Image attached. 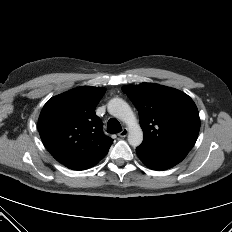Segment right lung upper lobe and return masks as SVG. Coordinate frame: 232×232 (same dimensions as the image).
Segmentation results:
<instances>
[{
	"label": "right lung upper lobe",
	"instance_id": "right-lung-upper-lobe-1",
	"mask_svg": "<svg viewBox=\"0 0 232 232\" xmlns=\"http://www.w3.org/2000/svg\"><path fill=\"white\" fill-rule=\"evenodd\" d=\"M104 93L103 87H78L51 98L40 113L38 130L44 146L70 169L96 164L113 142L103 134L95 114Z\"/></svg>",
	"mask_w": 232,
	"mask_h": 232
}]
</instances>
